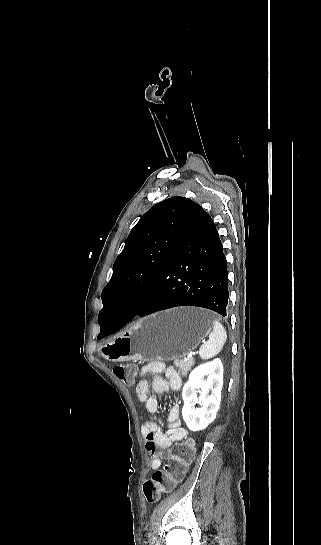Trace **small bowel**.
Returning <instances> with one entry per match:
<instances>
[{
	"mask_svg": "<svg viewBox=\"0 0 321 545\" xmlns=\"http://www.w3.org/2000/svg\"><path fill=\"white\" fill-rule=\"evenodd\" d=\"M148 374H155L152 380V388L158 393L169 390L177 392L181 389L182 379L180 374L171 367H166L160 361H152L144 365L140 372V380L136 385L138 399L144 404L146 411L153 415L158 411V400L149 394V384L146 379ZM141 433L145 441V447L151 454V468L157 470L162 462L169 456V448L178 441L187 437V430L181 426L180 406L174 404L168 413L167 429L162 431L155 418L149 416L141 427Z\"/></svg>",
	"mask_w": 321,
	"mask_h": 545,
	"instance_id": "1",
	"label": "small bowel"
}]
</instances>
